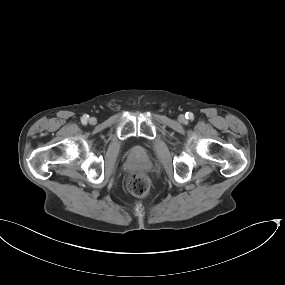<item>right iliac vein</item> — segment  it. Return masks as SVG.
Returning <instances> with one entry per match:
<instances>
[{
  "label": "right iliac vein",
  "instance_id": "1",
  "mask_svg": "<svg viewBox=\"0 0 285 285\" xmlns=\"http://www.w3.org/2000/svg\"><path fill=\"white\" fill-rule=\"evenodd\" d=\"M89 123H90L91 125H94V124L96 123V119H95L94 117L90 118V119H89Z\"/></svg>",
  "mask_w": 285,
  "mask_h": 285
}]
</instances>
